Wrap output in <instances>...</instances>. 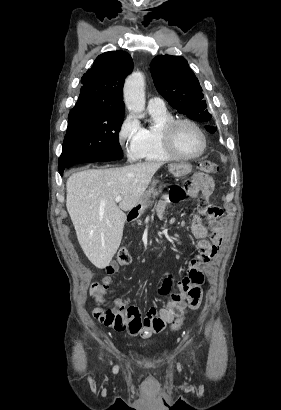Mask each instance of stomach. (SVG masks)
<instances>
[{
    "mask_svg": "<svg viewBox=\"0 0 281 410\" xmlns=\"http://www.w3.org/2000/svg\"><path fill=\"white\" fill-rule=\"evenodd\" d=\"M168 169H169V172L172 175H174L175 177H181V176H185L188 173H190V171L192 170V166L190 164H187V163L170 164ZM155 185H156V181H153L150 189L142 195L139 202L132 209V213L135 216H140L141 214H143L144 211L146 210V208L148 207L150 194L154 190Z\"/></svg>",
    "mask_w": 281,
    "mask_h": 410,
    "instance_id": "obj_1",
    "label": "stomach"
}]
</instances>
